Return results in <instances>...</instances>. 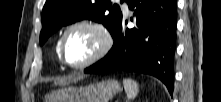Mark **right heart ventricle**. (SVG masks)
Instances as JSON below:
<instances>
[{"mask_svg": "<svg viewBox=\"0 0 221 102\" xmlns=\"http://www.w3.org/2000/svg\"><path fill=\"white\" fill-rule=\"evenodd\" d=\"M60 40V39H59ZM59 40L57 41L56 45H55V52H56V55L59 57L58 55V46H59Z\"/></svg>", "mask_w": 221, "mask_h": 102, "instance_id": "obj_1", "label": "right heart ventricle"}]
</instances>
